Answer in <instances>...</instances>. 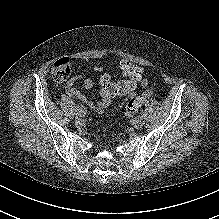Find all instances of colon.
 <instances>
[{
  "instance_id": "colon-1",
  "label": "colon",
  "mask_w": 219,
  "mask_h": 219,
  "mask_svg": "<svg viewBox=\"0 0 219 219\" xmlns=\"http://www.w3.org/2000/svg\"><path fill=\"white\" fill-rule=\"evenodd\" d=\"M121 71L125 79L114 82L108 74H102L99 83L103 100V109L107 108L110 101L116 97H127L123 106L127 117L133 116L140 107L148 102V95L138 96L134 91L142 79V69L137 65L124 61L121 63ZM56 82L67 80L71 74V63L67 58L57 60L51 70Z\"/></svg>"
}]
</instances>
